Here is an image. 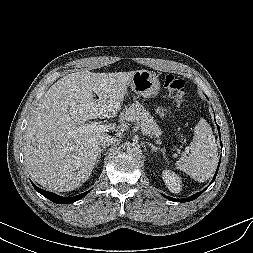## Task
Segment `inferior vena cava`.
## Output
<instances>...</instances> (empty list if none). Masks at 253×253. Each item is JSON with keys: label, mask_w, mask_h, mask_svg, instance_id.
<instances>
[{"label": "inferior vena cava", "mask_w": 253, "mask_h": 253, "mask_svg": "<svg viewBox=\"0 0 253 253\" xmlns=\"http://www.w3.org/2000/svg\"><path fill=\"white\" fill-rule=\"evenodd\" d=\"M115 142H116V138L111 137L109 135L103 136L99 140V144L102 145V146L110 145V144H113Z\"/></svg>", "instance_id": "inferior-vena-cava-1"}]
</instances>
